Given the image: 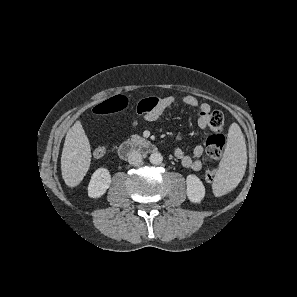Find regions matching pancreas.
Listing matches in <instances>:
<instances>
[{"label":"pancreas","mask_w":297,"mask_h":297,"mask_svg":"<svg viewBox=\"0 0 297 297\" xmlns=\"http://www.w3.org/2000/svg\"><path fill=\"white\" fill-rule=\"evenodd\" d=\"M139 139H141V137L138 136V135H132V136H131V141H132V142H136V141L139 140Z\"/></svg>","instance_id":"1"}]
</instances>
